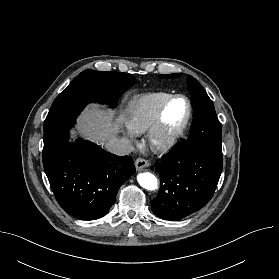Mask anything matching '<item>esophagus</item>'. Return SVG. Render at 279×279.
<instances>
[{
	"label": "esophagus",
	"instance_id": "esophagus-1",
	"mask_svg": "<svg viewBox=\"0 0 279 279\" xmlns=\"http://www.w3.org/2000/svg\"><path fill=\"white\" fill-rule=\"evenodd\" d=\"M149 166H150L149 161L145 160L143 158H138L135 161V167H136V170H138V171H140L146 167H149Z\"/></svg>",
	"mask_w": 279,
	"mask_h": 279
}]
</instances>
